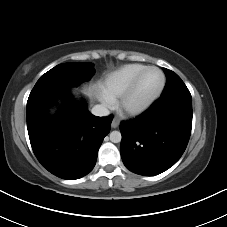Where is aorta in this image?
I'll return each instance as SVG.
<instances>
[{
    "mask_svg": "<svg viewBox=\"0 0 227 227\" xmlns=\"http://www.w3.org/2000/svg\"><path fill=\"white\" fill-rule=\"evenodd\" d=\"M122 139L121 133L119 131H112L110 133V141L113 143H119Z\"/></svg>",
    "mask_w": 227,
    "mask_h": 227,
    "instance_id": "aorta-1",
    "label": "aorta"
}]
</instances>
